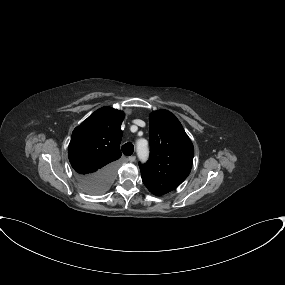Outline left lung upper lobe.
<instances>
[{"mask_svg": "<svg viewBox=\"0 0 285 285\" xmlns=\"http://www.w3.org/2000/svg\"><path fill=\"white\" fill-rule=\"evenodd\" d=\"M150 158L139 163L142 181L148 190L161 196L176 189L189 175L194 147L183 126L167 110L149 117Z\"/></svg>", "mask_w": 285, "mask_h": 285, "instance_id": "obj_1", "label": "left lung upper lobe"}]
</instances>
